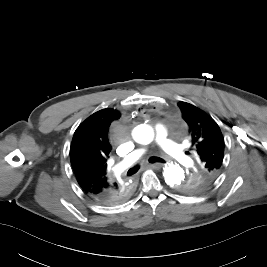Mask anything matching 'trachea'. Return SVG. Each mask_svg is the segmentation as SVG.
<instances>
[{
	"label": "trachea",
	"instance_id": "3493384b",
	"mask_svg": "<svg viewBox=\"0 0 267 267\" xmlns=\"http://www.w3.org/2000/svg\"><path fill=\"white\" fill-rule=\"evenodd\" d=\"M149 162L150 163H165V161L162 158H160V157H150L149 158ZM138 169H139V166L138 165L130 168L128 170V172H127V175L128 176H131V175L135 174L138 171Z\"/></svg>",
	"mask_w": 267,
	"mask_h": 267
}]
</instances>
